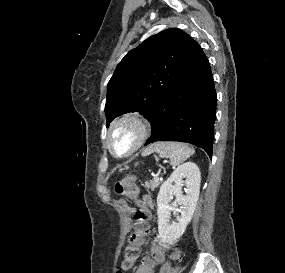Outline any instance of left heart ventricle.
I'll list each match as a JSON object with an SVG mask.
<instances>
[{"instance_id":"obj_1","label":"left heart ventricle","mask_w":285,"mask_h":273,"mask_svg":"<svg viewBox=\"0 0 285 273\" xmlns=\"http://www.w3.org/2000/svg\"><path fill=\"white\" fill-rule=\"evenodd\" d=\"M137 137L136 127L131 123L120 125L112 136V145L115 152L122 154L130 149Z\"/></svg>"}]
</instances>
